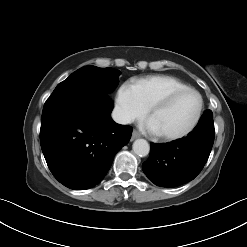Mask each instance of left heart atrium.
<instances>
[{
    "label": "left heart atrium",
    "instance_id": "39dd6f15",
    "mask_svg": "<svg viewBox=\"0 0 247 247\" xmlns=\"http://www.w3.org/2000/svg\"><path fill=\"white\" fill-rule=\"evenodd\" d=\"M141 127L143 130L148 131L150 133H157L154 126L152 125L150 119L145 120L142 124Z\"/></svg>",
    "mask_w": 247,
    "mask_h": 247
}]
</instances>
